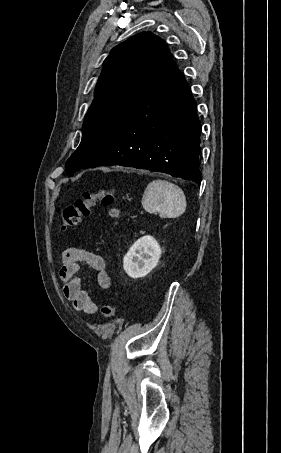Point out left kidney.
Returning a JSON list of instances; mask_svg holds the SVG:
<instances>
[{
	"label": "left kidney",
	"mask_w": 281,
	"mask_h": 453,
	"mask_svg": "<svg viewBox=\"0 0 281 453\" xmlns=\"http://www.w3.org/2000/svg\"><path fill=\"white\" fill-rule=\"evenodd\" d=\"M162 251L154 237L146 235L135 241L123 259L125 273L132 279L146 277L159 263Z\"/></svg>",
	"instance_id": "1"
}]
</instances>
